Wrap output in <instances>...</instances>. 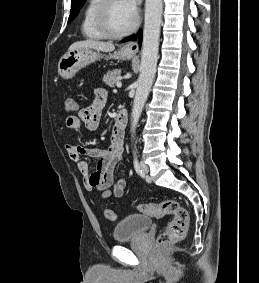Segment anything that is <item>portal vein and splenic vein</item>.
<instances>
[{"label": "portal vein and splenic vein", "instance_id": "portal-vein-and-splenic-vein-1", "mask_svg": "<svg viewBox=\"0 0 259 283\" xmlns=\"http://www.w3.org/2000/svg\"><path fill=\"white\" fill-rule=\"evenodd\" d=\"M116 86H117L118 88H120V87H122V83H121V82H117Z\"/></svg>", "mask_w": 259, "mask_h": 283}]
</instances>
